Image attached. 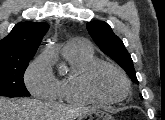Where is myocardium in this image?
<instances>
[{
    "label": "myocardium",
    "mask_w": 165,
    "mask_h": 120,
    "mask_svg": "<svg viewBox=\"0 0 165 120\" xmlns=\"http://www.w3.org/2000/svg\"><path fill=\"white\" fill-rule=\"evenodd\" d=\"M103 67H109L115 70L121 76L125 85V90L122 96L118 98H104L96 92L93 85V79L97 71ZM81 90L89 99L94 102L102 104H114L121 102L127 97L130 91V81L123 69L117 64L106 60H96L84 70L81 78Z\"/></svg>",
    "instance_id": "f54148a6"
}]
</instances>
